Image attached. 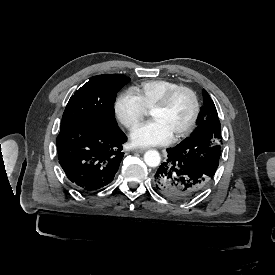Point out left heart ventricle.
Masks as SVG:
<instances>
[{
  "label": "left heart ventricle",
  "mask_w": 275,
  "mask_h": 275,
  "mask_svg": "<svg viewBox=\"0 0 275 275\" xmlns=\"http://www.w3.org/2000/svg\"><path fill=\"white\" fill-rule=\"evenodd\" d=\"M192 112L193 102L190 95L180 91L165 109L151 112V118L161 123L172 137L187 125Z\"/></svg>",
  "instance_id": "1"
}]
</instances>
